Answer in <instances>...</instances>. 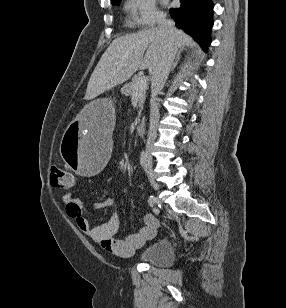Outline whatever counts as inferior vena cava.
<instances>
[{
    "label": "inferior vena cava",
    "mask_w": 286,
    "mask_h": 308,
    "mask_svg": "<svg viewBox=\"0 0 286 308\" xmlns=\"http://www.w3.org/2000/svg\"><path fill=\"white\" fill-rule=\"evenodd\" d=\"M158 27L160 30L165 32L166 40L163 54L152 73V97L150 100V126L146 144L147 149L152 147L157 135V127L160 117L157 103L158 95L161 93L166 83L178 50V46L175 40L176 28L174 21L166 19V16L163 15L158 18Z\"/></svg>",
    "instance_id": "1"
}]
</instances>
